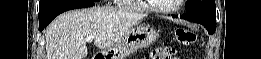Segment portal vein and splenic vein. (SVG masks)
<instances>
[{
  "label": "portal vein and splenic vein",
  "mask_w": 261,
  "mask_h": 59,
  "mask_svg": "<svg viewBox=\"0 0 261 59\" xmlns=\"http://www.w3.org/2000/svg\"><path fill=\"white\" fill-rule=\"evenodd\" d=\"M93 39H94L93 36H87L85 40H86L87 42H90V41H93Z\"/></svg>",
  "instance_id": "18ae733b"
}]
</instances>
